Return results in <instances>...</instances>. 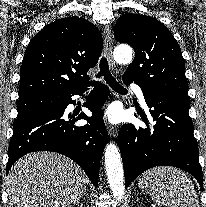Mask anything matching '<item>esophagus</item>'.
<instances>
[{
    "instance_id": "34e87169",
    "label": "esophagus",
    "mask_w": 206,
    "mask_h": 207,
    "mask_svg": "<svg viewBox=\"0 0 206 207\" xmlns=\"http://www.w3.org/2000/svg\"><path fill=\"white\" fill-rule=\"evenodd\" d=\"M103 36H104V53L112 69H115V63L112 58L113 41H112V31L110 26L108 25L104 26ZM108 133L111 137H116L118 135V127L109 124Z\"/></svg>"
}]
</instances>
